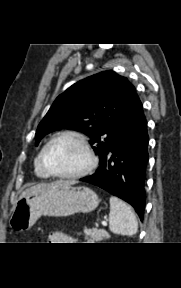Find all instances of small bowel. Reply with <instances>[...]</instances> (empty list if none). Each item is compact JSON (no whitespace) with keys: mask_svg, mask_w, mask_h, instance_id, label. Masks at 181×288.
<instances>
[{"mask_svg":"<svg viewBox=\"0 0 181 288\" xmlns=\"http://www.w3.org/2000/svg\"><path fill=\"white\" fill-rule=\"evenodd\" d=\"M69 242V238L62 232H52L48 237V243H66Z\"/></svg>","mask_w":181,"mask_h":288,"instance_id":"obj_1","label":"small bowel"}]
</instances>
